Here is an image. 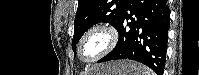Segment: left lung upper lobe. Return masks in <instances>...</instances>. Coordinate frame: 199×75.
Returning <instances> with one entry per match:
<instances>
[{
    "mask_svg": "<svg viewBox=\"0 0 199 75\" xmlns=\"http://www.w3.org/2000/svg\"><path fill=\"white\" fill-rule=\"evenodd\" d=\"M128 2L129 0H78L72 40L74 52L77 42L94 24L107 22L117 28Z\"/></svg>",
    "mask_w": 199,
    "mask_h": 75,
    "instance_id": "1",
    "label": "left lung upper lobe"
}]
</instances>
